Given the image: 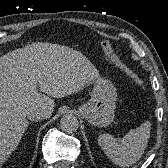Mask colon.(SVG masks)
Here are the masks:
<instances>
[{
  "mask_svg": "<svg viewBox=\"0 0 168 168\" xmlns=\"http://www.w3.org/2000/svg\"><path fill=\"white\" fill-rule=\"evenodd\" d=\"M101 47L105 55L110 59V61L118 67L120 70H122L124 73L127 74V76L132 80V82L138 86L142 87L143 82L141 79H139L135 74H133L126 66L122 63L118 55L116 54L112 43L110 40H103L101 42Z\"/></svg>",
  "mask_w": 168,
  "mask_h": 168,
  "instance_id": "1",
  "label": "colon"
}]
</instances>
